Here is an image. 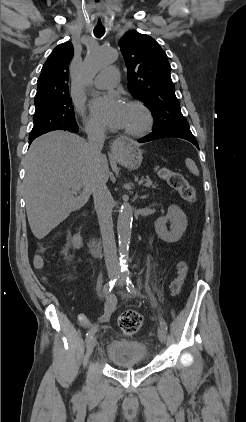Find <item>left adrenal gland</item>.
Returning <instances> with one entry per match:
<instances>
[{"mask_svg": "<svg viewBox=\"0 0 246 422\" xmlns=\"http://www.w3.org/2000/svg\"><path fill=\"white\" fill-rule=\"evenodd\" d=\"M147 198V195H142L141 197H140V199H146Z\"/></svg>", "mask_w": 246, "mask_h": 422, "instance_id": "a2214340", "label": "left adrenal gland"}]
</instances>
